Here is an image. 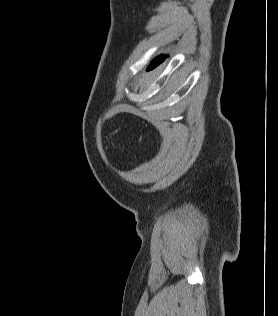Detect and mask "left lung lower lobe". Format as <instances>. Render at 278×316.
<instances>
[{"label": "left lung lower lobe", "mask_w": 278, "mask_h": 316, "mask_svg": "<svg viewBox=\"0 0 278 316\" xmlns=\"http://www.w3.org/2000/svg\"><path fill=\"white\" fill-rule=\"evenodd\" d=\"M164 59H165V56L162 55L161 59H160L159 62L156 64V66L159 65Z\"/></svg>", "instance_id": "0a47b994"}]
</instances>
